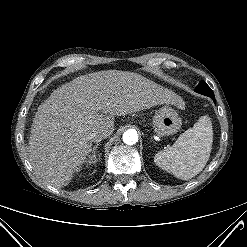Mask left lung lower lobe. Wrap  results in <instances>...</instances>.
I'll list each match as a JSON object with an SVG mask.
<instances>
[{
    "instance_id": "obj_1",
    "label": "left lung lower lobe",
    "mask_w": 247,
    "mask_h": 247,
    "mask_svg": "<svg viewBox=\"0 0 247 247\" xmlns=\"http://www.w3.org/2000/svg\"><path fill=\"white\" fill-rule=\"evenodd\" d=\"M212 99L215 101L214 96L212 97Z\"/></svg>"
}]
</instances>
